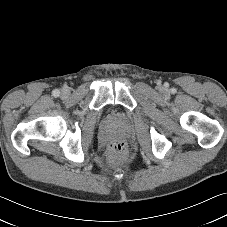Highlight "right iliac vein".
<instances>
[{"label":"right iliac vein","mask_w":227,"mask_h":227,"mask_svg":"<svg viewBox=\"0 0 227 227\" xmlns=\"http://www.w3.org/2000/svg\"><path fill=\"white\" fill-rule=\"evenodd\" d=\"M61 94H62L63 97H66V96H68L69 91L67 89H64V90H62Z\"/></svg>","instance_id":"63e3f726"}]
</instances>
